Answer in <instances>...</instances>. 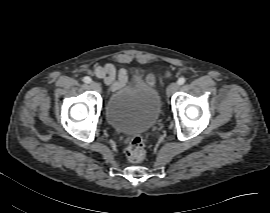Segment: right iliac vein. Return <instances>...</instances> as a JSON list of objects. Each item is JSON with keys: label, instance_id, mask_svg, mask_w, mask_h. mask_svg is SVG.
I'll list each match as a JSON object with an SVG mask.
<instances>
[{"label": "right iliac vein", "instance_id": "1", "mask_svg": "<svg viewBox=\"0 0 270 213\" xmlns=\"http://www.w3.org/2000/svg\"><path fill=\"white\" fill-rule=\"evenodd\" d=\"M91 87L96 90V91H99L100 90V86L98 83L96 82H91Z\"/></svg>", "mask_w": 270, "mask_h": 213}]
</instances>
